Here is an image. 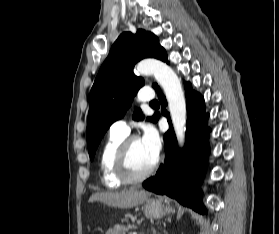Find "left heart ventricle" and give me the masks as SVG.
Masks as SVG:
<instances>
[{"label":"left heart ventricle","instance_id":"left-heart-ventricle-1","mask_svg":"<svg viewBox=\"0 0 279 234\" xmlns=\"http://www.w3.org/2000/svg\"><path fill=\"white\" fill-rule=\"evenodd\" d=\"M156 160V157L145 147L140 139L132 142L129 154V165L134 173L145 172Z\"/></svg>","mask_w":279,"mask_h":234}]
</instances>
